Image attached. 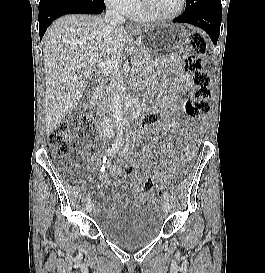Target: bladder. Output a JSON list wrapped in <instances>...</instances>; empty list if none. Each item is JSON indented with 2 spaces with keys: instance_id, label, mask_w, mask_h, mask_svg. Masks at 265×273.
Returning <instances> with one entry per match:
<instances>
[{
  "instance_id": "31cf9c89",
  "label": "bladder",
  "mask_w": 265,
  "mask_h": 273,
  "mask_svg": "<svg viewBox=\"0 0 265 273\" xmlns=\"http://www.w3.org/2000/svg\"><path fill=\"white\" fill-rule=\"evenodd\" d=\"M163 223L164 216L157 206L134 203L102 217L98 226L110 241L125 248H137L157 238Z\"/></svg>"
}]
</instances>
